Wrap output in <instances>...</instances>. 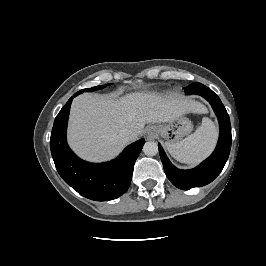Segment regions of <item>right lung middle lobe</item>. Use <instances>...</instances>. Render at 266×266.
Masks as SVG:
<instances>
[{"instance_id": "obj_1", "label": "right lung middle lobe", "mask_w": 266, "mask_h": 266, "mask_svg": "<svg viewBox=\"0 0 266 266\" xmlns=\"http://www.w3.org/2000/svg\"><path fill=\"white\" fill-rule=\"evenodd\" d=\"M102 88H104V85L92 87L90 89H83V90H80L79 92H77V95L80 94V93H83L84 91L91 92V91L99 90V89H102Z\"/></svg>"}]
</instances>
